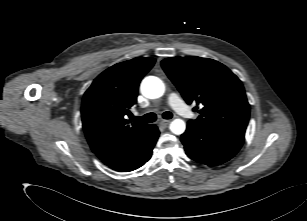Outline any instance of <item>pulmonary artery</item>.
<instances>
[{"label": "pulmonary artery", "instance_id": "pulmonary-artery-1", "mask_svg": "<svg viewBox=\"0 0 307 221\" xmlns=\"http://www.w3.org/2000/svg\"><path fill=\"white\" fill-rule=\"evenodd\" d=\"M167 103L178 114L184 115L187 113V107L183 104L180 96L177 93H170L167 97Z\"/></svg>", "mask_w": 307, "mask_h": 221}]
</instances>
